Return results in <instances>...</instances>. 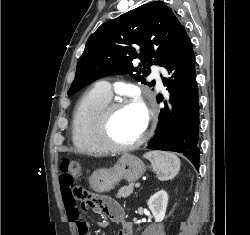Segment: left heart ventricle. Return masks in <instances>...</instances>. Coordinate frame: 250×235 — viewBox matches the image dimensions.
Returning a JSON list of instances; mask_svg holds the SVG:
<instances>
[{"instance_id": "b2bd125f", "label": "left heart ventricle", "mask_w": 250, "mask_h": 235, "mask_svg": "<svg viewBox=\"0 0 250 235\" xmlns=\"http://www.w3.org/2000/svg\"><path fill=\"white\" fill-rule=\"evenodd\" d=\"M142 117L132 107L119 109L115 112L110 123V136L119 144L135 141L143 131Z\"/></svg>"}]
</instances>
